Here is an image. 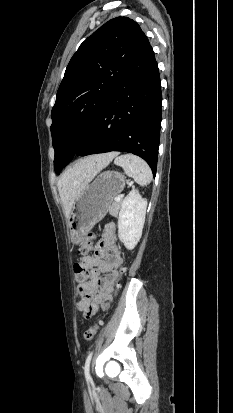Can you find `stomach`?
<instances>
[{
  "label": "stomach",
  "mask_w": 233,
  "mask_h": 413,
  "mask_svg": "<svg viewBox=\"0 0 233 413\" xmlns=\"http://www.w3.org/2000/svg\"><path fill=\"white\" fill-rule=\"evenodd\" d=\"M124 187L125 177L121 173L106 171L82 189L68 218L74 243L83 241L85 234L107 214L114 197Z\"/></svg>",
  "instance_id": "0dacf381"
}]
</instances>
